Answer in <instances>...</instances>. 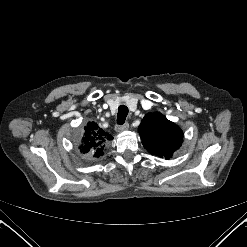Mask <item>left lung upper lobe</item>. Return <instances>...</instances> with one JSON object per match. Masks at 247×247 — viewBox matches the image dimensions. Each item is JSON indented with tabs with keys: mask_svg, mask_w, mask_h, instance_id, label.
I'll list each match as a JSON object with an SVG mask.
<instances>
[{
	"mask_svg": "<svg viewBox=\"0 0 247 247\" xmlns=\"http://www.w3.org/2000/svg\"><path fill=\"white\" fill-rule=\"evenodd\" d=\"M138 130L144 147L156 156L167 159L182 144L181 129L161 113L145 115Z\"/></svg>",
	"mask_w": 247,
	"mask_h": 247,
	"instance_id": "5c2ea615",
	"label": "left lung upper lobe"
}]
</instances>
